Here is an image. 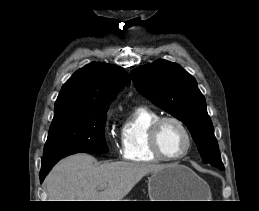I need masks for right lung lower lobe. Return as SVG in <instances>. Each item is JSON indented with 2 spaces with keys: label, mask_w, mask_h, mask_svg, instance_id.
<instances>
[{
  "label": "right lung lower lobe",
  "mask_w": 259,
  "mask_h": 211,
  "mask_svg": "<svg viewBox=\"0 0 259 211\" xmlns=\"http://www.w3.org/2000/svg\"><path fill=\"white\" fill-rule=\"evenodd\" d=\"M60 159H57L49 164L42 165L41 171H40V181L42 182L45 178V176L48 174V172L52 169V167L59 161Z\"/></svg>",
  "instance_id": "1"
}]
</instances>
